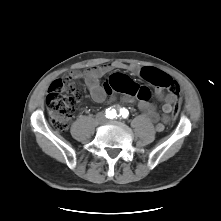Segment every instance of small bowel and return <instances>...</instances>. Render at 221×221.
<instances>
[{"label": "small bowel", "mask_w": 221, "mask_h": 221, "mask_svg": "<svg viewBox=\"0 0 221 221\" xmlns=\"http://www.w3.org/2000/svg\"><path fill=\"white\" fill-rule=\"evenodd\" d=\"M114 70H129L131 72L140 74L142 71L135 65H126L121 62H113L110 64L94 67L84 72H73L70 74V77L76 80H84L92 99L97 103L104 102L106 96L112 91L121 92L122 100L124 102L132 103L138 100L139 110L145 115L148 120L155 123L160 121V123H158L156 126V130L162 131L164 129V125L170 120V114L172 113L174 107L173 105L177 102L180 103V98H177L171 93L166 94L164 92V88L156 86V97L163 103L162 115L160 116L157 113L155 106L151 102H149L148 100H140L135 96L129 95L124 90V87H126L130 83H134L128 75L122 73H114L109 77L107 83L105 85H102L101 78Z\"/></svg>", "instance_id": "1"}]
</instances>
